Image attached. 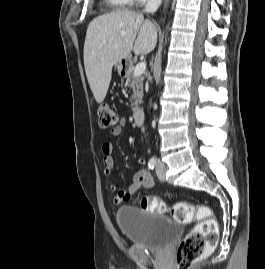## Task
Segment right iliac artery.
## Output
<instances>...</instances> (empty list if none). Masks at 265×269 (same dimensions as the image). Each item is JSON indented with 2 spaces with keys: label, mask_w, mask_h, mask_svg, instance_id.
Returning a JSON list of instances; mask_svg holds the SVG:
<instances>
[{
  "label": "right iliac artery",
  "mask_w": 265,
  "mask_h": 269,
  "mask_svg": "<svg viewBox=\"0 0 265 269\" xmlns=\"http://www.w3.org/2000/svg\"><path fill=\"white\" fill-rule=\"evenodd\" d=\"M155 165H156V159L153 157L149 160L148 167L149 169H154Z\"/></svg>",
  "instance_id": "82829eb1"
}]
</instances>
